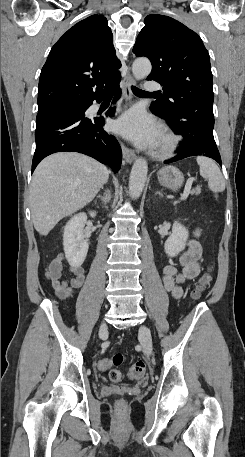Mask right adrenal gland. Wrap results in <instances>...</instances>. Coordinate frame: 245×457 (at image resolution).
<instances>
[{
  "label": "right adrenal gland",
  "instance_id": "2a0ac1e0",
  "mask_svg": "<svg viewBox=\"0 0 245 457\" xmlns=\"http://www.w3.org/2000/svg\"><path fill=\"white\" fill-rule=\"evenodd\" d=\"M97 198H100V200H102L104 206H106L107 202H110V200H111V192H110L109 188H107L104 196H101V194H98Z\"/></svg>",
  "mask_w": 245,
  "mask_h": 457
}]
</instances>
